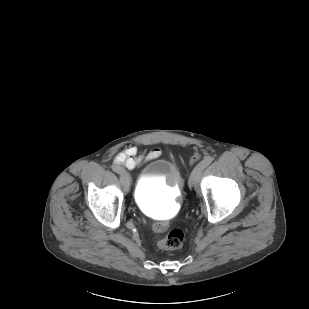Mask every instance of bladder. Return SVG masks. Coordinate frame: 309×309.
<instances>
[{
	"mask_svg": "<svg viewBox=\"0 0 309 309\" xmlns=\"http://www.w3.org/2000/svg\"><path fill=\"white\" fill-rule=\"evenodd\" d=\"M183 177L176 163L157 157L147 163L137 180L134 199L143 212L167 219L179 204Z\"/></svg>",
	"mask_w": 309,
	"mask_h": 309,
	"instance_id": "obj_1",
	"label": "bladder"
}]
</instances>
